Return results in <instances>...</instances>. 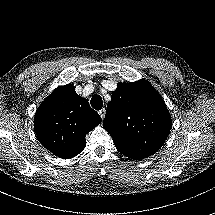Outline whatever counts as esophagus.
Returning <instances> with one entry per match:
<instances>
[{
  "instance_id": "1",
  "label": "esophagus",
  "mask_w": 215,
  "mask_h": 215,
  "mask_svg": "<svg viewBox=\"0 0 215 215\" xmlns=\"http://www.w3.org/2000/svg\"><path fill=\"white\" fill-rule=\"evenodd\" d=\"M99 115H100V117L102 118V120L104 119V117H105V114H106V110H105V108H102L101 110H99Z\"/></svg>"
}]
</instances>
